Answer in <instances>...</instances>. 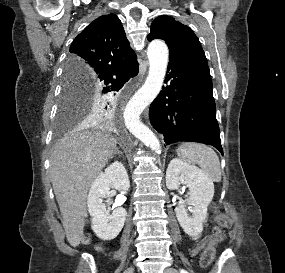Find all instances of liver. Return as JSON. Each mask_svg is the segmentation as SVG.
I'll return each instance as SVG.
<instances>
[{
  "label": "liver",
  "instance_id": "obj_1",
  "mask_svg": "<svg viewBox=\"0 0 285 273\" xmlns=\"http://www.w3.org/2000/svg\"><path fill=\"white\" fill-rule=\"evenodd\" d=\"M90 124L87 119L57 142L50 157L51 183L73 247L83 238L88 190L117 149V141L109 133L84 130Z\"/></svg>",
  "mask_w": 285,
  "mask_h": 273
}]
</instances>
